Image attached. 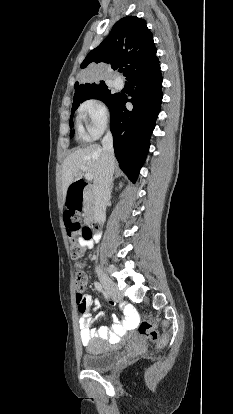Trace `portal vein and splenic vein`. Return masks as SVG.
Returning a JSON list of instances; mask_svg holds the SVG:
<instances>
[{
    "instance_id": "1",
    "label": "portal vein and splenic vein",
    "mask_w": 233,
    "mask_h": 414,
    "mask_svg": "<svg viewBox=\"0 0 233 414\" xmlns=\"http://www.w3.org/2000/svg\"><path fill=\"white\" fill-rule=\"evenodd\" d=\"M83 171H85L86 169L85 168H81ZM85 178L87 179V180H92L93 179V175L92 174H90V173H86L85 174Z\"/></svg>"
}]
</instances>
